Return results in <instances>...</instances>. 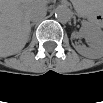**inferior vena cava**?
<instances>
[{"mask_svg": "<svg viewBox=\"0 0 103 103\" xmlns=\"http://www.w3.org/2000/svg\"><path fill=\"white\" fill-rule=\"evenodd\" d=\"M45 15L46 12L44 9H37L29 13V18L32 21H38L41 20Z\"/></svg>", "mask_w": 103, "mask_h": 103, "instance_id": "inferior-vena-cava-1", "label": "inferior vena cava"}]
</instances>
